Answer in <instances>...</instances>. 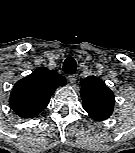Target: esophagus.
Instances as JSON below:
<instances>
[{
  "label": "esophagus",
  "instance_id": "obj_1",
  "mask_svg": "<svg viewBox=\"0 0 135 153\" xmlns=\"http://www.w3.org/2000/svg\"><path fill=\"white\" fill-rule=\"evenodd\" d=\"M77 79V74H72L68 76V80L71 84H73Z\"/></svg>",
  "mask_w": 135,
  "mask_h": 153
}]
</instances>
